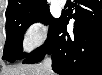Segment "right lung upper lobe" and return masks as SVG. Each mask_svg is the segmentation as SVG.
<instances>
[{
  "label": "right lung upper lobe",
  "instance_id": "1",
  "mask_svg": "<svg viewBox=\"0 0 102 75\" xmlns=\"http://www.w3.org/2000/svg\"><path fill=\"white\" fill-rule=\"evenodd\" d=\"M47 5L46 0H8L6 16L31 11Z\"/></svg>",
  "mask_w": 102,
  "mask_h": 75
}]
</instances>
